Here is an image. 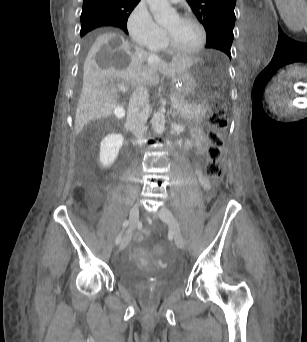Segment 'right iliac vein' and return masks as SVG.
Listing matches in <instances>:
<instances>
[{"label":"right iliac vein","mask_w":307,"mask_h":342,"mask_svg":"<svg viewBox=\"0 0 307 342\" xmlns=\"http://www.w3.org/2000/svg\"><path fill=\"white\" fill-rule=\"evenodd\" d=\"M138 220H139V204L135 203L132 206L130 213H129L130 225H129V229H128L125 237L123 238V240L120 244V247H119L120 250H122L130 241V239L132 237V232L134 231V229L138 223Z\"/></svg>","instance_id":"right-iliac-vein-1"}]
</instances>
